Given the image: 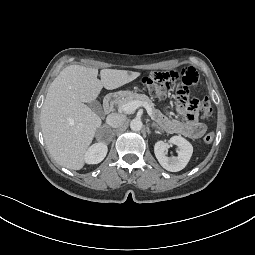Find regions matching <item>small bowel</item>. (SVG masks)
I'll use <instances>...</instances> for the list:
<instances>
[{"mask_svg":"<svg viewBox=\"0 0 255 255\" xmlns=\"http://www.w3.org/2000/svg\"><path fill=\"white\" fill-rule=\"evenodd\" d=\"M178 113L180 115L179 119H170L160 113H157L156 117L163 128L169 133L180 134L191 139L202 137L206 128L198 122L197 115L188 112L182 106L179 107Z\"/></svg>","mask_w":255,"mask_h":255,"instance_id":"small-bowel-1","label":"small bowel"}]
</instances>
